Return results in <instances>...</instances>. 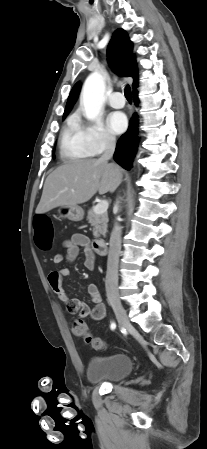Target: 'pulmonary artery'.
<instances>
[{
    "mask_svg": "<svg viewBox=\"0 0 207 449\" xmlns=\"http://www.w3.org/2000/svg\"><path fill=\"white\" fill-rule=\"evenodd\" d=\"M108 103L113 108H122L125 105V98L121 92H113Z\"/></svg>",
    "mask_w": 207,
    "mask_h": 449,
    "instance_id": "1",
    "label": "pulmonary artery"
}]
</instances>
